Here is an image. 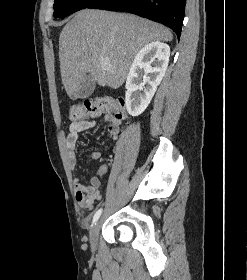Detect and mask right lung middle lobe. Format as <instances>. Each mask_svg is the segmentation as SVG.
<instances>
[{
	"label": "right lung middle lobe",
	"instance_id": "right-lung-middle-lobe-1",
	"mask_svg": "<svg viewBox=\"0 0 247 280\" xmlns=\"http://www.w3.org/2000/svg\"><path fill=\"white\" fill-rule=\"evenodd\" d=\"M97 0H55L54 16L65 17L76 11L87 8Z\"/></svg>",
	"mask_w": 247,
	"mask_h": 280
}]
</instances>
